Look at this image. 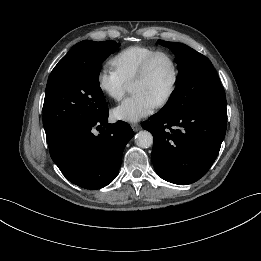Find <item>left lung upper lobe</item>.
<instances>
[{"label":"left lung upper lobe","instance_id":"1","mask_svg":"<svg viewBox=\"0 0 261 261\" xmlns=\"http://www.w3.org/2000/svg\"><path fill=\"white\" fill-rule=\"evenodd\" d=\"M159 44L173 51L179 70L176 90L162 111L177 115L226 103L225 92L208 58L182 43L159 40Z\"/></svg>","mask_w":261,"mask_h":261}]
</instances>
